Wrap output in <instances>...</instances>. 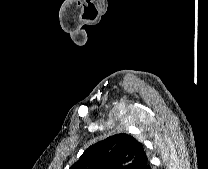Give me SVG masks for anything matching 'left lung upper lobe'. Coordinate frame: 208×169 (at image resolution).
Segmentation results:
<instances>
[{"label": "left lung upper lobe", "mask_w": 208, "mask_h": 169, "mask_svg": "<svg viewBox=\"0 0 208 169\" xmlns=\"http://www.w3.org/2000/svg\"><path fill=\"white\" fill-rule=\"evenodd\" d=\"M148 158L140 142L116 134L87 148L70 169H144Z\"/></svg>", "instance_id": "1"}]
</instances>
